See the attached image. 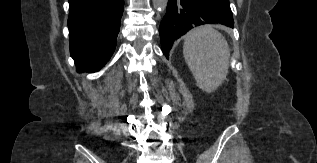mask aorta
<instances>
[{
  "instance_id": "aorta-1",
  "label": "aorta",
  "mask_w": 317,
  "mask_h": 163,
  "mask_svg": "<svg viewBox=\"0 0 317 163\" xmlns=\"http://www.w3.org/2000/svg\"><path fill=\"white\" fill-rule=\"evenodd\" d=\"M154 8L160 12L163 13L166 11L168 0H152Z\"/></svg>"
}]
</instances>
